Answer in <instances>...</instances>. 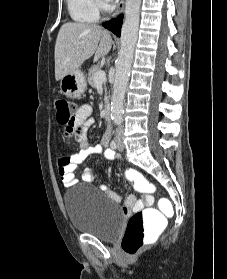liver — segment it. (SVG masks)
Returning <instances> with one entry per match:
<instances>
[{"instance_id": "liver-1", "label": "liver", "mask_w": 227, "mask_h": 279, "mask_svg": "<svg viewBox=\"0 0 227 279\" xmlns=\"http://www.w3.org/2000/svg\"><path fill=\"white\" fill-rule=\"evenodd\" d=\"M112 38L101 26L67 22L57 35L55 44V79L61 80L94 55V62L107 55Z\"/></svg>"}]
</instances>
